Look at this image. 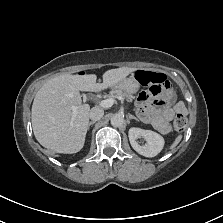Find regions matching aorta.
Listing matches in <instances>:
<instances>
[{
	"label": "aorta",
	"instance_id": "762f6f07",
	"mask_svg": "<svg viewBox=\"0 0 223 223\" xmlns=\"http://www.w3.org/2000/svg\"><path fill=\"white\" fill-rule=\"evenodd\" d=\"M110 120H111L112 126L114 127H120L124 123V119L121 114H114Z\"/></svg>",
	"mask_w": 223,
	"mask_h": 223
}]
</instances>
